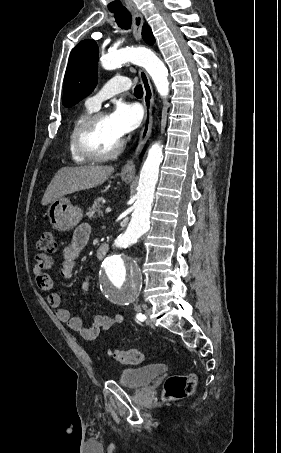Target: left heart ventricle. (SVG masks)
I'll return each mask as SVG.
<instances>
[{
  "mask_svg": "<svg viewBox=\"0 0 281 453\" xmlns=\"http://www.w3.org/2000/svg\"><path fill=\"white\" fill-rule=\"evenodd\" d=\"M121 139L107 117L94 129L91 144L97 152L106 153L113 150Z\"/></svg>",
  "mask_w": 281,
  "mask_h": 453,
  "instance_id": "b2bd125f",
  "label": "left heart ventricle"
}]
</instances>
